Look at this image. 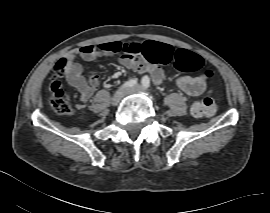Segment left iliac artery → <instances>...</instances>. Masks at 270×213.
<instances>
[{
    "instance_id": "1",
    "label": "left iliac artery",
    "mask_w": 270,
    "mask_h": 213,
    "mask_svg": "<svg viewBox=\"0 0 270 213\" xmlns=\"http://www.w3.org/2000/svg\"><path fill=\"white\" fill-rule=\"evenodd\" d=\"M141 83H142V86L144 87V88H149L150 87V79H149V77L146 75V76H144L143 78H142V80H141Z\"/></svg>"
}]
</instances>
